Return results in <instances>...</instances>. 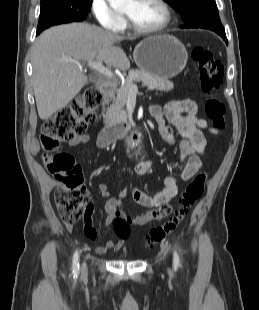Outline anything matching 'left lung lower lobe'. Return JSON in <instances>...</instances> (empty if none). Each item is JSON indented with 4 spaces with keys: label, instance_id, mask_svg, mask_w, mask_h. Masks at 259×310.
Wrapping results in <instances>:
<instances>
[{
    "label": "left lung lower lobe",
    "instance_id": "0a47b994",
    "mask_svg": "<svg viewBox=\"0 0 259 310\" xmlns=\"http://www.w3.org/2000/svg\"><path fill=\"white\" fill-rule=\"evenodd\" d=\"M183 28H194V27H186V26H182ZM218 35H220L224 41L228 44V40H227V37H226V34L225 32H216Z\"/></svg>",
    "mask_w": 259,
    "mask_h": 310
}]
</instances>
